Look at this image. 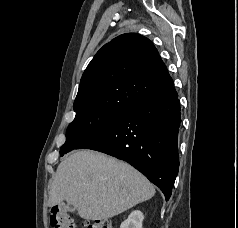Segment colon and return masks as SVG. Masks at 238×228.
Wrapping results in <instances>:
<instances>
[{"instance_id": "colon-1", "label": "colon", "mask_w": 238, "mask_h": 228, "mask_svg": "<svg viewBox=\"0 0 238 228\" xmlns=\"http://www.w3.org/2000/svg\"><path fill=\"white\" fill-rule=\"evenodd\" d=\"M50 225L52 228H75L74 219L69 210L63 205H54L49 211ZM83 228H113L110 220H95L86 222Z\"/></svg>"}]
</instances>
